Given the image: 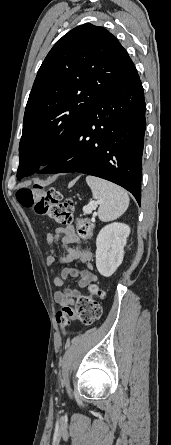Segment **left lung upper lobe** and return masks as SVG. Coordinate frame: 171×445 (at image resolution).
Instances as JSON below:
<instances>
[{"label": "left lung upper lobe", "instance_id": "obj_1", "mask_svg": "<svg viewBox=\"0 0 171 445\" xmlns=\"http://www.w3.org/2000/svg\"><path fill=\"white\" fill-rule=\"evenodd\" d=\"M135 70L126 50L106 29L83 24L65 34L46 56L30 92L17 178L48 165L87 109Z\"/></svg>", "mask_w": 171, "mask_h": 445}]
</instances>
